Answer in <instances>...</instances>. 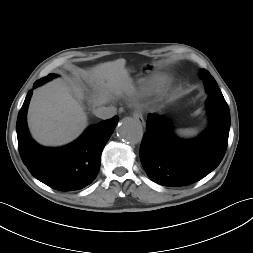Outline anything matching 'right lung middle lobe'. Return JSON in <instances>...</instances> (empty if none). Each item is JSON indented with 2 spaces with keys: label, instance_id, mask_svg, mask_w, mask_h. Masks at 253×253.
I'll use <instances>...</instances> for the list:
<instances>
[{
  "label": "right lung middle lobe",
  "instance_id": "dd1d6c3e",
  "mask_svg": "<svg viewBox=\"0 0 253 253\" xmlns=\"http://www.w3.org/2000/svg\"><path fill=\"white\" fill-rule=\"evenodd\" d=\"M56 75L55 74H49L47 77H44V78H42L41 79V83H45V82H47L48 80H50V79H52L53 77H55Z\"/></svg>",
  "mask_w": 253,
  "mask_h": 253
}]
</instances>
